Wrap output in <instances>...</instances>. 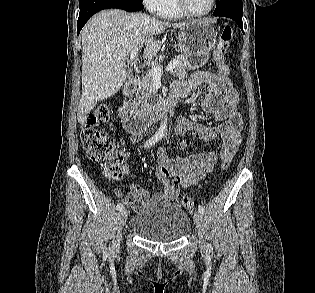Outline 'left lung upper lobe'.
Instances as JSON below:
<instances>
[{
	"label": "left lung upper lobe",
	"mask_w": 315,
	"mask_h": 293,
	"mask_svg": "<svg viewBox=\"0 0 315 293\" xmlns=\"http://www.w3.org/2000/svg\"><path fill=\"white\" fill-rule=\"evenodd\" d=\"M242 12V0H216V9L213 15L219 16L225 13L242 14Z\"/></svg>",
	"instance_id": "5c2ea615"
}]
</instances>
